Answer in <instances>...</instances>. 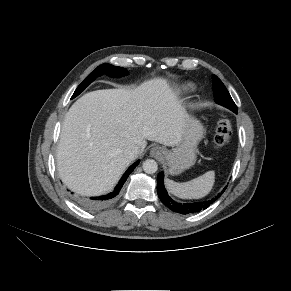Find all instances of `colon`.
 <instances>
[{"instance_id": "obj_1", "label": "colon", "mask_w": 291, "mask_h": 291, "mask_svg": "<svg viewBox=\"0 0 291 291\" xmlns=\"http://www.w3.org/2000/svg\"><path fill=\"white\" fill-rule=\"evenodd\" d=\"M232 135V123L229 118L222 116L217 124V128L214 135V146L217 149L226 147L231 139Z\"/></svg>"}]
</instances>
